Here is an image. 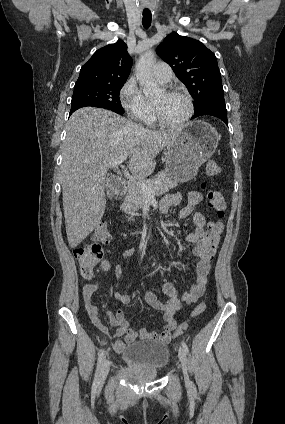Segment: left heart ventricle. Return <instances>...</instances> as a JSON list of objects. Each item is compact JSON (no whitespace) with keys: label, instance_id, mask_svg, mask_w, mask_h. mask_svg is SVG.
I'll list each match as a JSON object with an SVG mask.
<instances>
[{"label":"left heart ventricle","instance_id":"1","mask_svg":"<svg viewBox=\"0 0 285 424\" xmlns=\"http://www.w3.org/2000/svg\"><path fill=\"white\" fill-rule=\"evenodd\" d=\"M153 102L159 107L163 118L169 122H178L188 113V104L181 95H167L162 91Z\"/></svg>","mask_w":285,"mask_h":424}]
</instances>
